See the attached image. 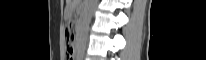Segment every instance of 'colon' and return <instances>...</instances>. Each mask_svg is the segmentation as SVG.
I'll return each instance as SVG.
<instances>
[{
  "label": "colon",
  "instance_id": "obj_1",
  "mask_svg": "<svg viewBox=\"0 0 206 60\" xmlns=\"http://www.w3.org/2000/svg\"><path fill=\"white\" fill-rule=\"evenodd\" d=\"M65 39L67 45V60H73L74 32L71 25H67L65 28Z\"/></svg>",
  "mask_w": 206,
  "mask_h": 60
}]
</instances>
